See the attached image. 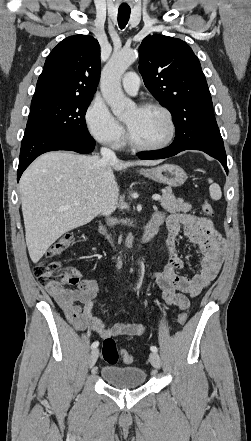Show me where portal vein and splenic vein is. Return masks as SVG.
Returning a JSON list of instances; mask_svg holds the SVG:
<instances>
[{
    "label": "portal vein and splenic vein",
    "instance_id": "18ae733b",
    "mask_svg": "<svg viewBox=\"0 0 251 441\" xmlns=\"http://www.w3.org/2000/svg\"><path fill=\"white\" fill-rule=\"evenodd\" d=\"M152 198H153V200H155V201H160V200H161V196L158 195V194L153 195ZM79 203H80V202H76V204H79Z\"/></svg>",
    "mask_w": 251,
    "mask_h": 441
}]
</instances>
